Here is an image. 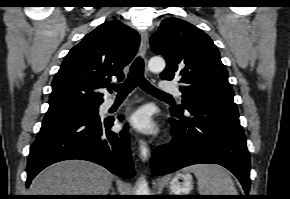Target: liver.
Returning a JSON list of instances; mask_svg holds the SVG:
<instances>
[{"label":"liver","instance_id":"liver-1","mask_svg":"<svg viewBox=\"0 0 290 199\" xmlns=\"http://www.w3.org/2000/svg\"><path fill=\"white\" fill-rule=\"evenodd\" d=\"M113 175L95 163L66 160L48 167L32 181L31 195H108Z\"/></svg>","mask_w":290,"mask_h":199}]
</instances>
